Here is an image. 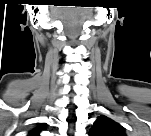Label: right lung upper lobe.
Segmentation results:
<instances>
[{
  "instance_id": "1",
  "label": "right lung upper lobe",
  "mask_w": 151,
  "mask_h": 136,
  "mask_svg": "<svg viewBox=\"0 0 151 136\" xmlns=\"http://www.w3.org/2000/svg\"><path fill=\"white\" fill-rule=\"evenodd\" d=\"M44 127H38L36 129H33L29 132V136H39L41 130H43Z\"/></svg>"
}]
</instances>
